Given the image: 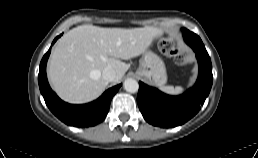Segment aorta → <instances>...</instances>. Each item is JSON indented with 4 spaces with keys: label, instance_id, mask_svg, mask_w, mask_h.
Returning a JSON list of instances; mask_svg holds the SVG:
<instances>
[{
    "label": "aorta",
    "instance_id": "762f6f07",
    "mask_svg": "<svg viewBox=\"0 0 258 158\" xmlns=\"http://www.w3.org/2000/svg\"><path fill=\"white\" fill-rule=\"evenodd\" d=\"M139 84L135 79L128 78L124 81V89L129 93H136L138 91Z\"/></svg>",
    "mask_w": 258,
    "mask_h": 158
}]
</instances>
